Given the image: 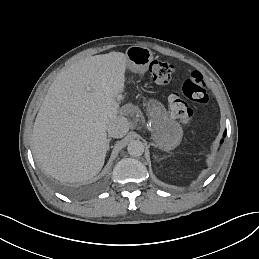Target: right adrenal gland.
I'll return each mask as SVG.
<instances>
[{
	"mask_svg": "<svg viewBox=\"0 0 259 259\" xmlns=\"http://www.w3.org/2000/svg\"><path fill=\"white\" fill-rule=\"evenodd\" d=\"M110 139L107 140V148H109Z\"/></svg>",
	"mask_w": 259,
	"mask_h": 259,
	"instance_id": "1",
	"label": "right adrenal gland"
}]
</instances>
